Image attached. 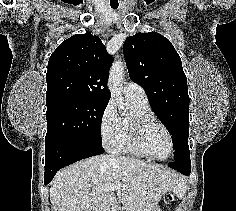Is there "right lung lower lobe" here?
Returning <instances> with one entry per match:
<instances>
[{
	"label": "right lung lower lobe",
	"instance_id": "1",
	"mask_svg": "<svg viewBox=\"0 0 236 211\" xmlns=\"http://www.w3.org/2000/svg\"><path fill=\"white\" fill-rule=\"evenodd\" d=\"M102 153H104L102 145L88 140L60 138L45 141L44 184L51 182L61 168Z\"/></svg>",
	"mask_w": 236,
	"mask_h": 211
}]
</instances>
